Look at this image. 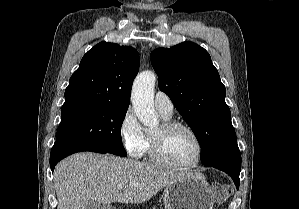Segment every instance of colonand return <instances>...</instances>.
<instances>
[{
  "label": "colon",
  "instance_id": "colon-1",
  "mask_svg": "<svg viewBox=\"0 0 299 209\" xmlns=\"http://www.w3.org/2000/svg\"><path fill=\"white\" fill-rule=\"evenodd\" d=\"M212 189L218 203L224 202L232 194V188L228 184L214 183Z\"/></svg>",
  "mask_w": 299,
  "mask_h": 209
}]
</instances>
